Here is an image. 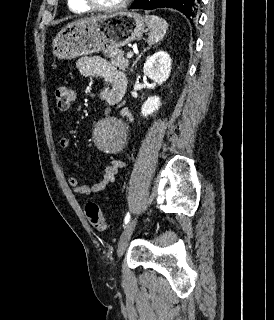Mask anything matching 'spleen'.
<instances>
[{"label": "spleen", "instance_id": "3e777b00", "mask_svg": "<svg viewBox=\"0 0 274 320\" xmlns=\"http://www.w3.org/2000/svg\"><path fill=\"white\" fill-rule=\"evenodd\" d=\"M144 20L145 24H147L149 28L148 44H153V42H159V40H162L167 30L165 20L158 18V16H145Z\"/></svg>", "mask_w": 274, "mask_h": 320}]
</instances>
